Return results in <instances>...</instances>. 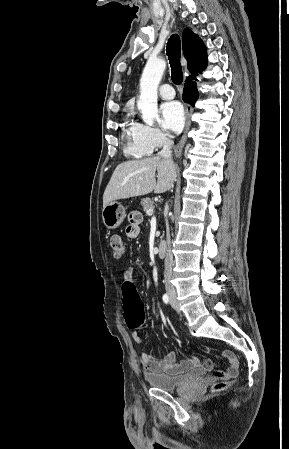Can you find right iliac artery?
Segmentation results:
<instances>
[{
  "label": "right iliac artery",
  "instance_id": "82829eb1",
  "mask_svg": "<svg viewBox=\"0 0 289 449\" xmlns=\"http://www.w3.org/2000/svg\"><path fill=\"white\" fill-rule=\"evenodd\" d=\"M164 303L168 304L169 303V296L167 294H164L162 297Z\"/></svg>",
  "mask_w": 289,
  "mask_h": 449
}]
</instances>
